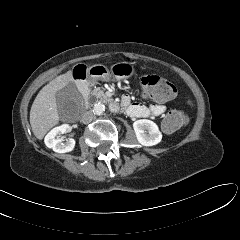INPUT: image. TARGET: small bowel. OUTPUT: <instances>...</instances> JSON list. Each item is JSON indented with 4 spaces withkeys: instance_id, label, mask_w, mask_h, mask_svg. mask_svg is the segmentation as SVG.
<instances>
[{
    "instance_id": "small-bowel-1",
    "label": "small bowel",
    "mask_w": 240,
    "mask_h": 240,
    "mask_svg": "<svg viewBox=\"0 0 240 240\" xmlns=\"http://www.w3.org/2000/svg\"><path fill=\"white\" fill-rule=\"evenodd\" d=\"M125 112L134 118H146L161 116L166 111V106L161 103H153L149 106L132 102L130 96L124 95L121 101Z\"/></svg>"
}]
</instances>
